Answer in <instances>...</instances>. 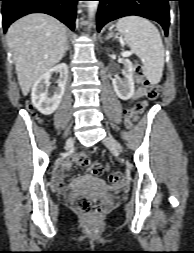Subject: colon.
<instances>
[{"label":"colon","mask_w":194,"mask_h":253,"mask_svg":"<svg viewBox=\"0 0 194 253\" xmlns=\"http://www.w3.org/2000/svg\"><path fill=\"white\" fill-rule=\"evenodd\" d=\"M135 74L141 83L147 88V100L138 102L133 107L124 110L123 125L129 127L134 122V118L141 114L148 106L149 101L155 100L160 94V87L157 84L151 83V78H143V72L140 65L135 66ZM73 160L76 164L86 168L87 172L99 176L103 172L102 164L97 160H91L87 154L79 152L74 155ZM123 180V175L120 172H113L109 176V181L112 184H119ZM76 206L87 214H99L103 209V204L98 199H91L84 196H78L75 201Z\"/></svg>","instance_id":"colon-1"}]
</instances>
